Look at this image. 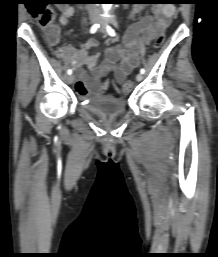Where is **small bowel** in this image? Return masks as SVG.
<instances>
[{
	"mask_svg": "<svg viewBox=\"0 0 218 257\" xmlns=\"http://www.w3.org/2000/svg\"><path fill=\"white\" fill-rule=\"evenodd\" d=\"M140 7H134L130 13V18H134L140 11ZM75 10L71 6L61 9L59 22L66 25ZM174 14V6L161 5L154 8V15H146L140 19L128 32L125 44L121 46H108L106 57L103 62L98 63L100 54H89V50L98 46L96 39H89L77 50H72L69 54V61L76 72V90L81 96L90 94H103L101 82L109 73H113L118 84H123L130 72L137 67L139 63V49L144 44H149L158 38V34H163L169 26ZM66 49L61 48L57 55L66 54ZM86 65L89 72H86L82 66ZM119 98H123L124 89H120Z\"/></svg>",
	"mask_w": 218,
	"mask_h": 257,
	"instance_id": "small-bowel-1",
	"label": "small bowel"
}]
</instances>
